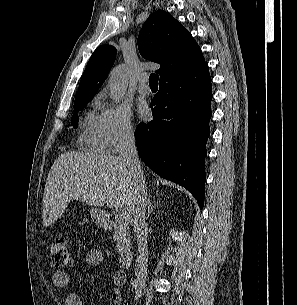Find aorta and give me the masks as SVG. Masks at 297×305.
<instances>
[{"label":"aorta","mask_w":297,"mask_h":305,"mask_svg":"<svg viewBox=\"0 0 297 305\" xmlns=\"http://www.w3.org/2000/svg\"><path fill=\"white\" fill-rule=\"evenodd\" d=\"M128 85L127 71L124 65L116 66L110 73L108 86L112 98L118 102L126 92Z\"/></svg>","instance_id":"obj_1"}]
</instances>
